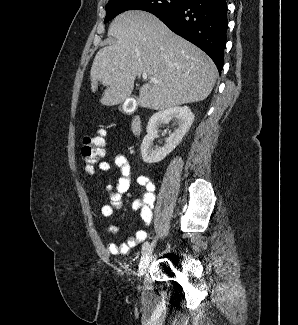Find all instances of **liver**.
I'll list each match as a JSON object with an SVG mask.
<instances>
[{"instance_id": "obj_1", "label": "liver", "mask_w": 298, "mask_h": 325, "mask_svg": "<svg viewBox=\"0 0 298 325\" xmlns=\"http://www.w3.org/2000/svg\"><path fill=\"white\" fill-rule=\"evenodd\" d=\"M109 36L114 44L98 50L90 70L96 92L106 86L101 104H120L130 98L136 76L147 74L160 82H145L139 92L142 108L164 110L204 100L217 78L208 54L172 32L157 16L145 10H126L115 16Z\"/></svg>"}]
</instances>
